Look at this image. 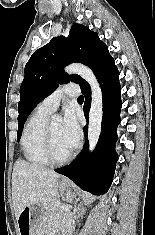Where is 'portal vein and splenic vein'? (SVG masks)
Wrapping results in <instances>:
<instances>
[{
	"instance_id": "portal-vein-and-splenic-vein-1",
	"label": "portal vein and splenic vein",
	"mask_w": 155,
	"mask_h": 235,
	"mask_svg": "<svg viewBox=\"0 0 155 235\" xmlns=\"http://www.w3.org/2000/svg\"><path fill=\"white\" fill-rule=\"evenodd\" d=\"M60 208L64 211H70V207L69 206H60Z\"/></svg>"
}]
</instances>
